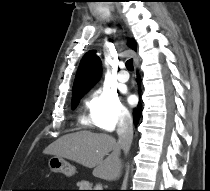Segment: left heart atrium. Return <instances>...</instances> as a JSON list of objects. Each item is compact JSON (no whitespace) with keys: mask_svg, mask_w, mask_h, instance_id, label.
Returning <instances> with one entry per match:
<instances>
[{"mask_svg":"<svg viewBox=\"0 0 210 191\" xmlns=\"http://www.w3.org/2000/svg\"><path fill=\"white\" fill-rule=\"evenodd\" d=\"M128 101H129V103L132 104L134 102V98L132 96H130V97H128Z\"/></svg>","mask_w":210,"mask_h":191,"instance_id":"39dd6f15","label":"left heart atrium"}]
</instances>
